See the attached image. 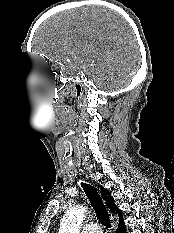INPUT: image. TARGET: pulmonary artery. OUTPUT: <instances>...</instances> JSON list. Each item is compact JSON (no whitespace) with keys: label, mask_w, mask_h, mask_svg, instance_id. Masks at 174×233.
<instances>
[{"label":"pulmonary artery","mask_w":174,"mask_h":233,"mask_svg":"<svg viewBox=\"0 0 174 233\" xmlns=\"http://www.w3.org/2000/svg\"><path fill=\"white\" fill-rule=\"evenodd\" d=\"M82 233H102L98 224L90 222L83 226Z\"/></svg>","instance_id":"1"}]
</instances>
